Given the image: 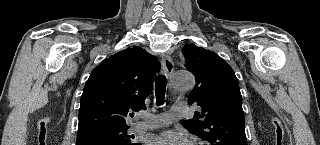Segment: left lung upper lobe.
Instances as JSON below:
<instances>
[{
  "instance_id": "5c2ea615",
  "label": "left lung upper lobe",
  "mask_w": 320,
  "mask_h": 145,
  "mask_svg": "<svg viewBox=\"0 0 320 145\" xmlns=\"http://www.w3.org/2000/svg\"><path fill=\"white\" fill-rule=\"evenodd\" d=\"M182 52L196 79L188 103L202 108L183 125L210 145H247L242 96L232 68L216 53L194 44L184 45Z\"/></svg>"
}]
</instances>
